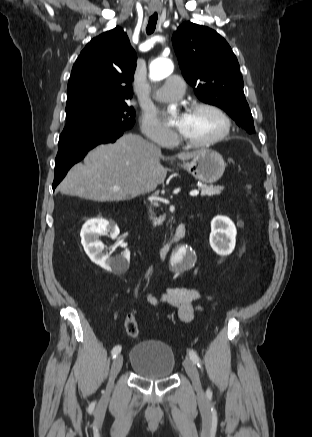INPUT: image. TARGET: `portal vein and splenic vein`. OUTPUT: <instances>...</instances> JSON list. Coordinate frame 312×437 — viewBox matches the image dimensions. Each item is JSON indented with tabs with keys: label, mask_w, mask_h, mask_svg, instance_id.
Here are the masks:
<instances>
[{
	"label": "portal vein and splenic vein",
	"mask_w": 312,
	"mask_h": 437,
	"mask_svg": "<svg viewBox=\"0 0 312 437\" xmlns=\"http://www.w3.org/2000/svg\"><path fill=\"white\" fill-rule=\"evenodd\" d=\"M115 190H119V188H115ZM199 194V191L198 190H192L191 192H190V196H197Z\"/></svg>",
	"instance_id": "1"
}]
</instances>
